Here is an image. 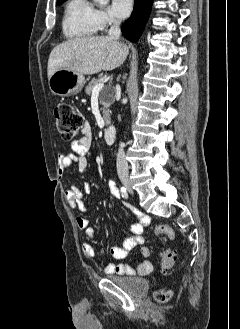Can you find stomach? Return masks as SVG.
I'll use <instances>...</instances> for the list:
<instances>
[{
	"instance_id": "stomach-1",
	"label": "stomach",
	"mask_w": 240,
	"mask_h": 329,
	"mask_svg": "<svg viewBox=\"0 0 240 329\" xmlns=\"http://www.w3.org/2000/svg\"><path fill=\"white\" fill-rule=\"evenodd\" d=\"M50 91L57 96H71L79 93L84 86L83 74L67 69L55 71L48 79Z\"/></svg>"
}]
</instances>
